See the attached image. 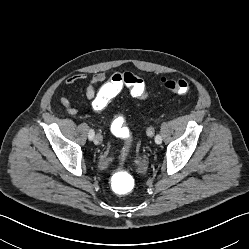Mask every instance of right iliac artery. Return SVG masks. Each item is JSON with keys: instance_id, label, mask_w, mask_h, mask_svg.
<instances>
[{"instance_id": "right-iliac-artery-1", "label": "right iliac artery", "mask_w": 249, "mask_h": 249, "mask_svg": "<svg viewBox=\"0 0 249 249\" xmlns=\"http://www.w3.org/2000/svg\"><path fill=\"white\" fill-rule=\"evenodd\" d=\"M94 135H95L94 130H93V129H90V131H89V133H88V138H89V140H93Z\"/></svg>"}]
</instances>
